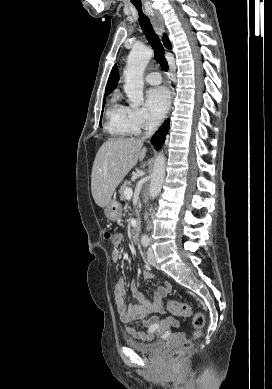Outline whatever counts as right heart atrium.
<instances>
[{"mask_svg":"<svg viewBox=\"0 0 272 389\" xmlns=\"http://www.w3.org/2000/svg\"><path fill=\"white\" fill-rule=\"evenodd\" d=\"M131 115L137 129H149L155 124L143 108H131Z\"/></svg>","mask_w":272,"mask_h":389,"instance_id":"d8ad5b80","label":"right heart atrium"}]
</instances>
